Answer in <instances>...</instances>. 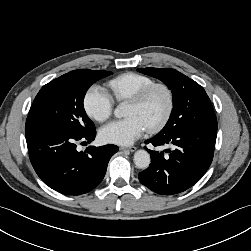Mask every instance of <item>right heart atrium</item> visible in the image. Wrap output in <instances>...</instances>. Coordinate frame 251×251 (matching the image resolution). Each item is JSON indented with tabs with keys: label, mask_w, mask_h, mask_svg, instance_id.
<instances>
[{
	"label": "right heart atrium",
	"mask_w": 251,
	"mask_h": 251,
	"mask_svg": "<svg viewBox=\"0 0 251 251\" xmlns=\"http://www.w3.org/2000/svg\"><path fill=\"white\" fill-rule=\"evenodd\" d=\"M83 107L91 119L104 122L113 112L114 100L104 87L95 84L87 89Z\"/></svg>",
	"instance_id": "1"
}]
</instances>
